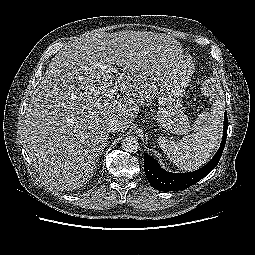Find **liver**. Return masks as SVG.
<instances>
[{"instance_id": "obj_1", "label": "liver", "mask_w": 255, "mask_h": 255, "mask_svg": "<svg viewBox=\"0 0 255 255\" xmlns=\"http://www.w3.org/2000/svg\"><path fill=\"white\" fill-rule=\"evenodd\" d=\"M182 53L172 36L147 31L93 32L65 45L24 120V146L43 181L57 190L84 186L108 143L107 123L118 121L119 132L129 128ZM113 65L117 75L104 68ZM115 86L123 98L112 96Z\"/></svg>"}]
</instances>
